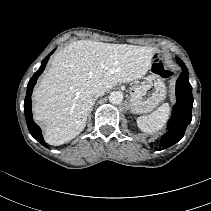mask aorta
Masks as SVG:
<instances>
[{
  "label": "aorta",
  "instance_id": "762f6f07",
  "mask_svg": "<svg viewBox=\"0 0 211 211\" xmlns=\"http://www.w3.org/2000/svg\"><path fill=\"white\" fill-rule=\"evenodd\" d=\"M123 100V95L119 92H112L109 96V101L112 104H120Z\"/></svg>",
  "mask_w": 211,
  "mask_h": 211
}]
</instances>
